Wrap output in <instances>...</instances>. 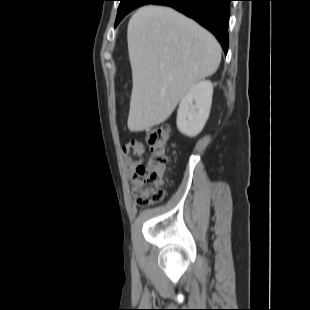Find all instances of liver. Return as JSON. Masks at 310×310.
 <instances>
[{"mask_svg":"<svg viewBox=\"0 0 310 310\" xmlns=\"http://www.w3.org/2000/svg\"><path fill=\"white\" fill-rule=\"evenodd\" d=\"M133 87L128 129L165 122L189 89L213 75L221 61L216 38L174 9L148 5L128 23Z\"/></svg>","mask_w":310,"mask_h":310,"instance_id":"6515ba94","label":"liver"}]
</instances>
